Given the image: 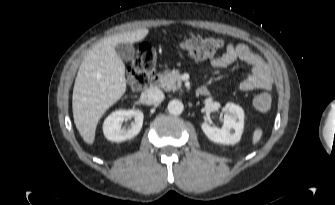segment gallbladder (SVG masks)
<instances>
[{"label":"gallbladder","mask_w":335,"mask_h":205,"mask_svg":"<svg viewBox=\"0 0 335 205\" xmlns=\"http://www.w3.org/2000/svg\"><path fill=\"white\" fill-rule=\"evenodd\" d=\"M115 51L119 58L123 61L129 62L133 59L135 50L130 43H119L115 46Z\"/></svg>","instance_id":"bac80fb5"}]
</instances>
